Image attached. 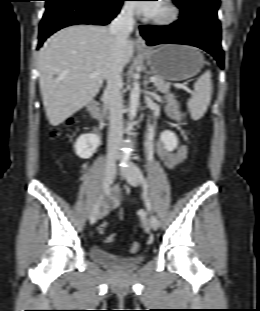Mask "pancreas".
Here are the masks:
<instances>
[{
  "label": "pancreas",
  "instance_id": "1",
  "mask_svg": "<svg viewBox=\"0 0 260 311\" xmlns=\"http://www.w3.org/2000/svg\"><path fill=\"white\" fill-rule=\"evenodd\" d=\"M156 78V81L154 82V86L156 87L157 91H160L161 93H168L170 91L171 84L168 82H165L164 79H162L159 76H154Z\"/></svg>",
  "mask_w": 260,
  "mask_h": 311
}]
</instances>
